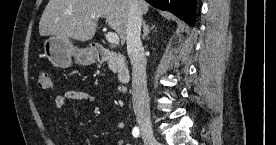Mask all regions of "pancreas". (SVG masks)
Returning a JSON list of instances; mask_svg holds the SVG:
<instances>
[{
    "mask_svg": "<svg viewBox=\"0 0 276 145\" xmlns=\"http://www.w3.org/2000/svg\"><path fill=\"white\" fill-rule=\"evenodd\" d=\"M109 68H110L113 72H115V71H116V65H115V63H114V62H109Z\"/></svg>",
    "mask_w": 276,
    "mask_h": 145,
    "instance_id": "1",
    "label": "pancreas"
}]
</instances>
